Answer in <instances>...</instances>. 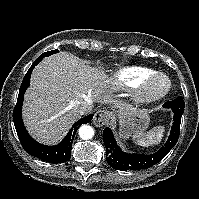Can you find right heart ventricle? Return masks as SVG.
Listing matches in <instances>:
<instances>
[{
    "label": "right heart ventricle",
    "mask_w": 199,
    "mask_h": 199,
    "mask_svg": "<svg viewBox=\"0 0 199 199\" xmlns=\"http://www.w3.org/2000/svg\"><path fill=\"white\" fill-rule=\"evenodd\" d=\"M154 73L156 71L148 67L126 66L115 73L113 84L120 87H139Z\"/></svg>",
    "instance_id": "1"
}]
</instances>
